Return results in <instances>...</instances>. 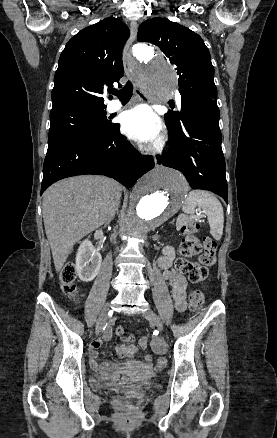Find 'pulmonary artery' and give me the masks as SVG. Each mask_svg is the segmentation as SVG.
I'll return each mask as SVG.
<instances>
[{"mask_svg":"<svg viewBox=\"0 0 277 438\" xmlns=\"http://www.w3.org/2000/svg\"><path fill=\"white\" fill-rule=\"evenodd\" d=\"M122 107V104L120 102H115L112 105V111H117Z\"/></svg>","mask_w":277,"mask_h":438,"instance_id":"pulmonary-artery-1","label":"pulmonary artery"}]
</instances>
